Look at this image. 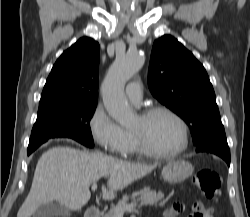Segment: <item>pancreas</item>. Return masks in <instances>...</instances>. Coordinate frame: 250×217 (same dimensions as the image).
<instances>
[{
  "label": "pancreas",
  "mask_w": 250,
  "mask_h": 217,
  "mask_svg": "<svg viewBox=\"0 0 250 217\" xmlns=\"http://www.w3.org/2000/svg\"><path fill=\"white\" fill-rule=\"evenodd\" d=\"M136 196H139L138 200L141 202V205L145 204L149 206L157 204L164 197L162 193H157L156 191L150 190V188H144L140 192H135L132 198L135 199ZM128 200L129 197H124L102 217H116L115 212L128 206Z\"/></svg>",
  "instance_id": "obj_1"
}]
</instances>
